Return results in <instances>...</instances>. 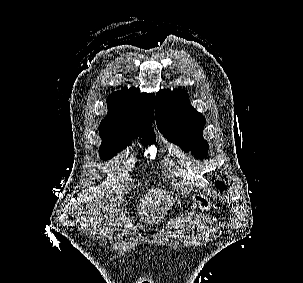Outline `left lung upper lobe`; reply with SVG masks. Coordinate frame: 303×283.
<instances>
[{"label":"left lung upper lobe","mask_w":303,"mask_h":283,"mask_svg":"<svg viewBox=\"0 0 303 283\" xmlns=\"http://www.w3.org/2000/svg\"><path fill=\"white\" fill-rule=\"evenodd\" d=\"M155 118L159 131L168 141L191 151L197 159H203L208 152V143L203 139L205 118L189 103L185 90H160L156 94ZM216 186L224 190L222 182Z\"/></svg>","instance_id":"obj_1"}]
</instances>
